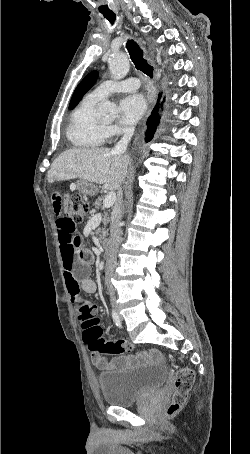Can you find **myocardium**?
<instances>
[{
    "instance_id": "f54148a6",
    "label": "myocardium",
    "mask_w": 250,
    "mask_h": 454,
    "mask_svg": "<svg viewBox=\"0 0 250 454\" xmlns=\"http://www.w3.org/2000/svg\"><path fill=\"white\" fill-rule=\"evenodd\" d=\"M102 123H103V125H104L105 127H107V126H108V125H107L106 123H104V122H102Z\"/></svg>"
}]
</instances>
